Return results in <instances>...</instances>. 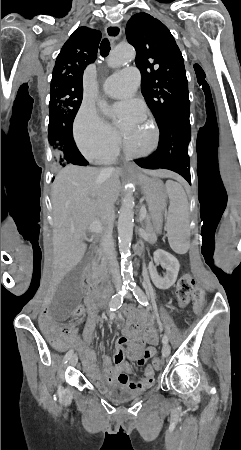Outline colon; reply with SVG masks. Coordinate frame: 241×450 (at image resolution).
<instances>
[{
	"mask_svg": "<svg viewBox=\"0 0 241 450\" xmlns=\"http://www.w3.org/2000/svg\"><path fill=\"white\" fill-rule=\"evenodd\" d=\"M177 301L178 302H185L186 305H188L191 296L193 295V297L191 298V305L194 306L195 311L197 313H200L201 311L204 310L205 306L209 305V298L208 297H204V292L202 290V288L200 286L195 287V282H194V277L192 274L188 273L185 274L178 283V287H177ZM180 311L182 313H185L187 311V308L185 306H182L180 308ZM77 314L82 315L85 312L84 307L79 306L76 309ZM154 367H159V358L155 357L154 358Z\"/></svg>",
	"mask_w": 241,
	"mask_h": 450,
	"instance_id": "colon-1",
	"label": "colon"
}]
</instances>
